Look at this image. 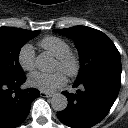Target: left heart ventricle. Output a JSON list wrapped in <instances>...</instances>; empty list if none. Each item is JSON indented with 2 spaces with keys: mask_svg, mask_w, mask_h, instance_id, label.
Masks as SVG:
<instances>
[{
  "mask_svg": "<svg viewBox=\"0 0 128 128\" xmlns=\"http://www.w3.org/2000/svg\"><path fill=\"white\" fill-rule=\"evenodd\" d=\"M54 69H55V70H57V69H60V70H61V67H60V65H59L58 62H56Z\"/></svg>",
  "mask_w": 128,
  "mask_h": 128,
  "instance_id": "obj_1",
  "label": "left heart ventricle"
}]
</instances>
